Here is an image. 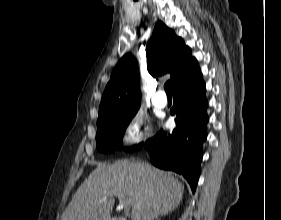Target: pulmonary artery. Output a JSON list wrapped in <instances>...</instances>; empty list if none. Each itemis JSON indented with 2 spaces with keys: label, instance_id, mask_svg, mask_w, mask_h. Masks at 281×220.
Listing matches in <instances>:
<instances>
[{
  "label": "pulmonary artery",
  "instance_id": "obj_1",
  "mask_svg": "<svg viewBox=\"0 0 281 220\" xmlns=\"http://www.w3.org/2000/svg\"><path fill=\"white\" fill-rule=\"evenodd\" d=\"M153 104L158 108H164L167 105V97L163 90L159 89L152 98Z\"/></svg>",
  "mask_w": 281,
  "mask_h": 220
}]
</instances>
